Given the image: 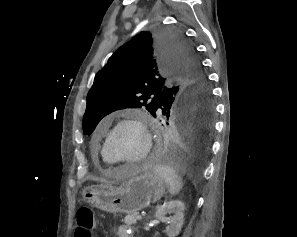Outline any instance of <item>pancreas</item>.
I'll return each mask as SVG.
<instances>
[{"label":"pancreas","instance_id":"cf45deb5","mask_svg":"<svg viewBox=\"0 0 297 237\" xmlns=\"http://www.w3.org/2000/svg\"><path fill=\"white\" fill-rule=\"evenodd\" d=\"M138 213H132V214H128L123 220L122 222H124L127 225H133L137 223V217H138Z\"/></svg>","mask_w":297,"mask_h":237}]
</instances>
